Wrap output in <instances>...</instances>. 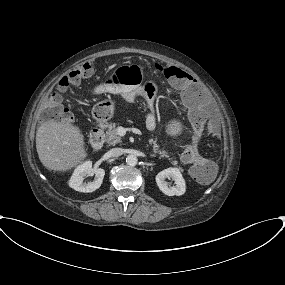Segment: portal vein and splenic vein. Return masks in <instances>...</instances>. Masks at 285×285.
<instances>
[{
  "mask_svg": "<svg viewBox=\"0 0 285 285\" xmlns=\"http://www.w3.org/2000/svg\"><path fill=\"white\" fill-rule=\"evenodd\" d=\"M120 130L123 131V132L125 131L124 128H120Z\"/></svg>",
  "mask_w": 285,
  "mask_h": 285,
  "instance_id": "portal-vein-and-splenic-vein-1",
  "label": "portal vein and splenic vein"
}]
</instances>
